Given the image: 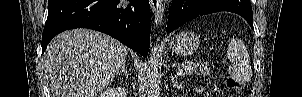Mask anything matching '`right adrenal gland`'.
Here are the masks:
<instances>
[{
  "label": "right adrenal gland",
  "instance_id": "obj_1",
  "mask_svg": "<svg viewBox=\"0 0 302 97\" xmlns=\"http://www.w3.org/2000/svg\"><path fill=\"white\" fill-rule=\"evenodd\" d=\"M119 75H125L126 77L128 76V73H127V66L126 64L124 63L123 66H122V69L119 71L118 73Z\"/></svg>",
  "mask_w": 302,
  "mask_h": 97
}]
</instances>
